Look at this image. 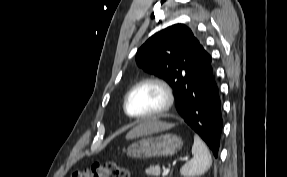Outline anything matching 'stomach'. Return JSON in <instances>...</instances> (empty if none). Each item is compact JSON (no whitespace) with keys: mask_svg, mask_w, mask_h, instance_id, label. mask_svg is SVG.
<instances>
[{"mask_svg":"<svg viewBox=\"0 0 287 177\" xmlns=\"http://www.w3.org/2000/svg\"><path fill=\"white\" fill-rule=\"evenodd\" d=\"M183 146L181 137L175 134H164L145 137L128 146L126 153L135 158H152L156 156H173Z\"/></svg>","mask_w":287,"mask_h":177,"instance_id":"1","label":"stomach"}]
</instances>
